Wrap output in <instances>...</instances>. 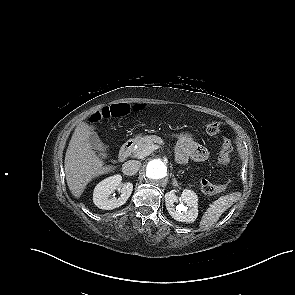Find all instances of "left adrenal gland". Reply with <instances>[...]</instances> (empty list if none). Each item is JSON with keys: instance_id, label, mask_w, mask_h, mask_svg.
I'll return each instance as SVG.
<instances>
[{"instance_id": "obj_1", "label": "left adrenal gland", "mask_w": 295, "mask_h": 295, "mask_svg": "<svg viewBox=\"0 0 295 295\" xmlns=\"http://www.w3.org/2000/svg\"><path fill=\"white\" fill-rule=\"evenodd\" d=\"M172 181H173V183H172V184H173L174 186H177V187H178V183H177V180H176V178H173V179H172Z\"/></svg>"}]
</instances>
